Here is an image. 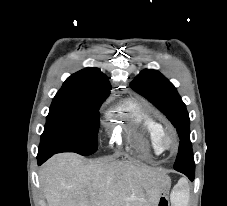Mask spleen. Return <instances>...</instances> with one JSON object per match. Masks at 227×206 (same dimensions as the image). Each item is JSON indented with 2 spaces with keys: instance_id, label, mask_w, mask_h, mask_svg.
Wrapping results in <instances>:
<instances>
[{
  "instance_id": "3e777b00",
  "label": "spleen",
  "mask_w": 227,
  "mask_h": 206,
  "mask_svg": "<svg viewBox=\"0 0 227 206\" xmlns=\"http://www.w3.org/2000/svg\"><path fill=\"white\" fill-rule=\"evenodd\" d=\"M189 189L176 187L171 194L173 206H187Z\"/></svg>"
}]
</instances>
